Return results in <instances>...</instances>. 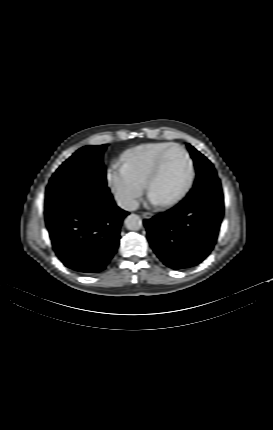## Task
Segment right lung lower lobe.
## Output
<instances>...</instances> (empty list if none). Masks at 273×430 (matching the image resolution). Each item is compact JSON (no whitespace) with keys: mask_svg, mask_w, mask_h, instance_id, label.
Segmentation results:
<instances>
[{"mask_svg":"<svg viewBox=\"0 0 273 430\" xmlns=\"http://www.w3.org/2000/svg\"><path fill=\"white\" fill-rule=\"evenodd\" d=\"M53 249L62 263L90 275L103 271L117 251L128 212L111 195H82L45 209Z\"/></svg>","mask_w":273,"mask_h":430,"instance_id":"98d812e1","label":"right lung lower lobe"}]
</instances>
